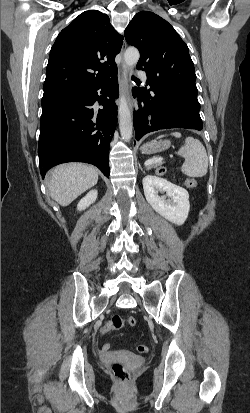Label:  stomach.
I'll use <instances>...</instances> for the list:
<instances>
[{
	"label": "stomach",
	"mask_w": 250,
	"mask_h": 413,
	"mask_svg": "<svg viewBox=\"0 0 250 413\" xmlns=\"http://www.w3.org/2000/svg\"><path fill=\"white\" fill-rule=\"evenodd\" d=\"M170 146V141H152L144 144L141 147V151L144 154H154L166 150Z\"/></svg>",
	"instance_id": "1"
}]
</instances>
